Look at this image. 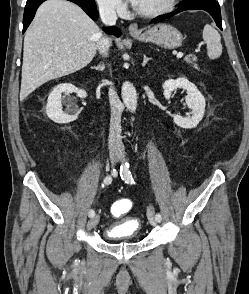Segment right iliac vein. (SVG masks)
Wrapping results in <instances>:
<instances>
[{"mask_svg":"<svg viewBox=\"0 0 249 294\" xmlns=\"http://www.w3.org/2000/svg\"><path fill=\"white\" fill-rule=\"evenodd\" d=\"M118 156H119V153L116 148H113L110 150L109 157L112 164L116 163V161L118 160ZM99 220H100L99 215L93 216L88 222V230L95 228L98 225Z\"/></svg>","mask_w":249,"mask_h":294,"instance_id":"right-iliac-vein-1","label":"right iliac vein"}]
</instances>
